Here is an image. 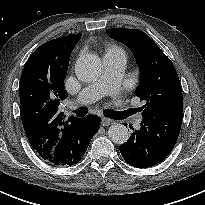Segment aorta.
<instances>
[{
  "instance_id": "aorta-1",
  "label": "aorta",
  "mask_w": 205,
  "mask_h": 205,
  "mask_svg": "<svg viewBox=\"0 0 205 205\" xmlns=\"http://www.w3.org/2000/svg\"><path fill=\"white\" fill-rule=\"evenodd\" d=\"M102 72L101 59L95 54H84L78 58L75 64V73L83 82H93L98 79ZM108 136L116 144H123L129 138L126 126L114 124L108 130Z\"/></svg>"
}]
</instances>
